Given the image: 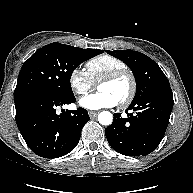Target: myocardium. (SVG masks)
Here are the masks:
<instances>
[{"instance_id":"1","label":"myocardium","mask_w":193,"mask_h":193,"mask_svg":"<svg viewBox=\"0 0 193 193\" xmlns=\"http://www.w3.org/2000/svg\"><path fill=\"white\" fill-rule=\"evenodd\" d=\"M122 77H128L131 83V88H130V92L128 96L124 100L118 103L120 107L125 108L129 106L132 103V101L134 100L136 93H137V88H138L137 79L131 70L124 68V69L113 71L109 73L108 75H106L105 77H103L98 82V86L103 83L115 82L121 79Z\"/></svg>"}]
</instances>
